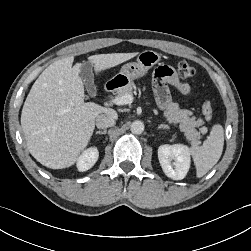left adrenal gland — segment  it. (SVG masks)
<instances>
[{
	"label": "left adrenal gland",
	"instance_id": "a2214340",
	"mask_svg": "<svg viewBox=\"0 0 251 251\" xmlns=\"http://www.w3.org/2000/svg\"><path fill=\"white\" fill-rule=\"evenodd\" d=\"M157 129H168V126L161 124L157 127Z\"/></svg>",
	"mask_w": 251,
	"mask_h": 251
}]
</instances>
